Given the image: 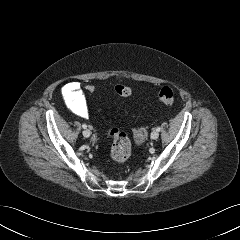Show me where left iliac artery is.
<instances>
[{
    "instance_id": "obj_1",
    "label": "left iliac artery",
    "mask_w": 240,
    "mask_h": 240,
    "mask_svg": "<svg viewBox=\"0 0 240 240\" xmlns=\"http://www.w3.org/2000/svg\"><path fill=\"white\" fill-rule=\"evenodd\" d=\"M156 131H158V132L161 131V128H160V127H157V128H156Z\"/></svg>"
}]
</instances>
